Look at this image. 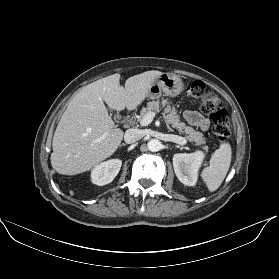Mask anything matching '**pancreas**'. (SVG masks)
<instances>
[{
    "label": "pancreas",
    "instance_id": "pancreas-1",
    "mask_svg": "<svg viewBox=\"0 0 279 279\" xmlns=\"http://www.w3.org/2000/svg\"><path fill=\"white\" fill-rule=\"evenodd\" d=\"M171 104L172 103L168 102L166 99H162L161 102L158 100L149 102L147 107L142 108L139 121H141L147 113H158L164 108V112L166 114L165 119L169 125L178 130L180 133H186V138L189 141L195 142V144L198 146L204 145L206 143V139L203 134L201 132L195 131L192 127L186 126L185 123L181 122L176 107ZM202 149L205 152H208V146H202Z\"/></svg>",
    "mask_w": 279,
    "mask_h": 279
}]
</instances>
